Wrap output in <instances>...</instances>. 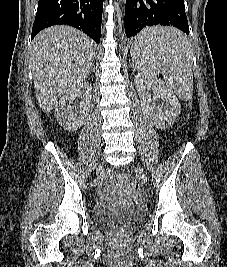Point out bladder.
I'll use <instances>...</instances> for the list:
<instances>
[{
  "instance_id": "obj_1",
  "label": "bladder",
  "mask_w": 227,
  "mask_h": 267,
  "mask_svg": "<svg viewBox=\"0 0 227 267\" xmlns=\"http://www.w3.org/2000/svg\"><path fill=\"white\" fill-rule=\"evenodd\" d=\"M142 214V209L138 207L126 209L95 206L93 209L95 221L102 225L123 224L141 217Z\"/></svg>"
}]
</instances>
